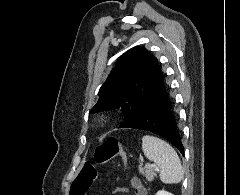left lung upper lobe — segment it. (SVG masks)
<instances>
[{"label": "left lung upper lobe", "instance_id": "5c2ea615", "mask_svg": "<svg viewBox=\"0 0 240 195\" xmlns=\"http://www.w3.org/2000/svg\"><path fill=\"white\" fill-rule=\"evenodd\" d=\"M163 85L164 74L157 58L144 47L133 48L116 62L90 113L121 108L124 116L121 128Z\"/></svg>", "mask_w": 240, "mask_h": 195}]
</instances>
